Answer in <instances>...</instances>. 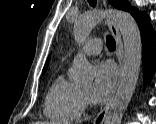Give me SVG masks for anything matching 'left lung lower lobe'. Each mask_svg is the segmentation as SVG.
Returning <instances> with one entry per match:
<instances>
[{
	"label": "left lung lower lobe",
	"instance_id": "left-lung-lower-lobe-1",
	"mask_svg": "<svg viewBox=\"0 0 156 124\" xmlns=\"http://www.w3.org/2000/svg\"><path fill=\"white\" fill-rule=\"evenodd\" d=\"M137 21L142 38V61H143V77L148 83L151 80L154 70L156 69V43L154 41L155 31L149 24V17L138 10L132 13Z\"/></svg>",
	"mask_w": 156,
	"mask_h": 124
}]
</instances>
